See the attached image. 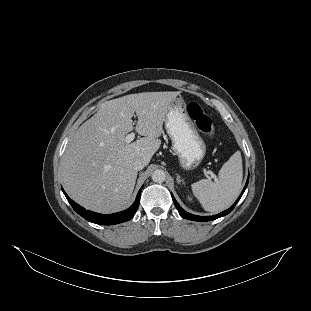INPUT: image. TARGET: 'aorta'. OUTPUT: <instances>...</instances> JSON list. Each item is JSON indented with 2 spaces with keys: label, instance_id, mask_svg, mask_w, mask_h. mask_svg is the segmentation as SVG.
I'll use <instances>...</instances> for the list:
<instances>
[{
  "label": "aorta",
  "instance_id": "762f6f07",
  "mask_svg": "<svg viewBox=\"0 0 311 311\" xmlns=\"http://www.w3.org/2000/svg\"><path fill=\"white\" fill-rule=\"evenodd\" d=\"M165 179H166V173L162 169H156L152 173V180L155 183H163L165 181Z\"/></svg>",
  "mask_w": 311,
  "mask_h": 311
}]
</instances>
